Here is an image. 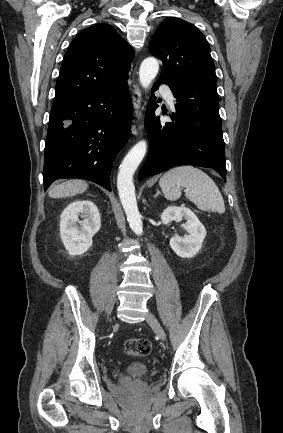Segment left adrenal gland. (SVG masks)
<instances>
[{
	"instance_id": "obj_1",
	"label": "left adrenal gland",
	"mask_w": 283,
	"mask_h": 433,
	"mask_svg": "<svg viewBox=\"0 0 283 433\" xmlns=\"http://www.w3.org/2000/svg\"><path fill=\"white\" fill-rule=\"evenodd\" d=\"M156 190H157V192H156L155 196H159V194H161L159 188H156Z\"/></svg>"
}]
</instances>
